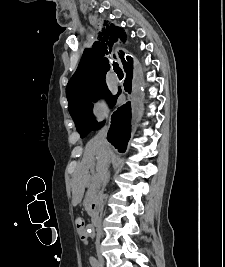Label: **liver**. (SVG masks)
Segmentation results:
<instances>
[{
	"label": "liver",
	"instance_id": "6515ba94",
	"mask_svg": "<svg viewBox=\"0 0 225 267\" xmlns=\"http://www.w3.org/2000/svg\"><path fill=\"white\" fill-rule=\"evenodd\" d=\"M105 164L106 150L95 140V138L91 139L85 147L82 161L77 165L76 170L74 172V179L72 185V203L74 206L79 204L83 198L85 187L90 179V166L96 165L97 177L104 168Z\"/></svg>",
	"mask_w": 225,
	"mask_h": 267
}]
</instances>
